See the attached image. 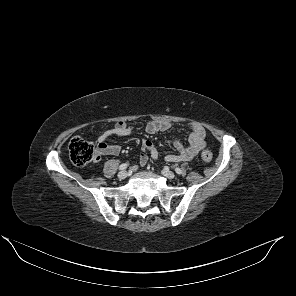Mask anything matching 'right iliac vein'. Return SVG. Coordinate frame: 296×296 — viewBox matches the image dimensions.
<instances>
[{"mask_svg":"<svg viewBox=\"0 0 296 296\" xmlns=\"http://www.w3.org/2000/svg\"><path fill=\"white\" fill-rule=\"evenodd\" d=\"M128 173L126 171H121L118 173V178L123 180L127 177Z\"/></svg>","mask_w":296,"mask_h":296,"instance_id":"obj_1","label":"right iliac vein"}]
</instances>
